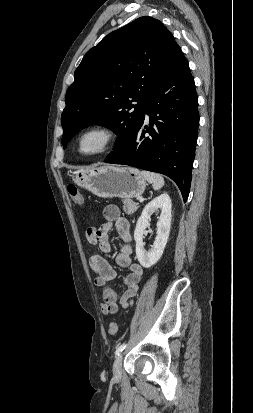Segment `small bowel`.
Returning a JSON list of instances; mask_svg holds the SVG:
<instances>
[{"instance_id":"1","label":"small bowel","mask_w":253,"mask_h":413,"mask_svg":"<svg viewBox=\"0 0 253 413\" xmlns=\"http://www.w3.org/2000/svg\"><path fill=\"white\" fill-rule=\"evenodd\" d=\"M103 216L105 222L98 228L88 227L85 236L88 243L97 245L100 251L92 253L89 258V266L96 274L95 285L103 288L101 310L104 314H115L119 309L126 310L131 307L138 291V284L143 277V268L140 264L132 261L130 225L121 216L120 209L116 205H108L104 208ZM113 226H115L118 235L124 242L116 256V263L129 271L123 281L126 289L120 298L111 285V282L116 278V271L103 256V254H108L111 251L108 233Z\"/></svg>"}]
</instances>
